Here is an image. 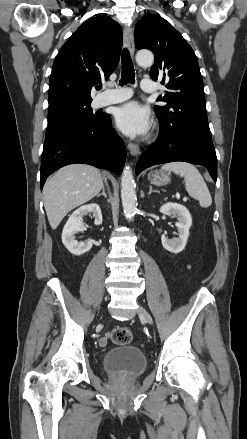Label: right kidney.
Masks as SVG:
<instances>
[{
    "instance_id": "1",
    "label": "right kidney",
    "mask_w": 247,
    "mask_h": 439,
    "mask_svg": "<svg viewBox=\"0 0 247 439\" xmlns=\"http://www.w3.org/2000/svg\"><path fill=\"white\" fill-rule=\"evenodd\" d=\"M92 213L95 217V225L102 224V213L98 204L92 203L88 205L81 206L75 210L69 217L67 223L65 224L62 232V242L64 246L73 255H81L86 253L92 248L91 242H77L75 239V234L86 230L83 224L82 217Z\"/></svg>"
}]
</instances>
